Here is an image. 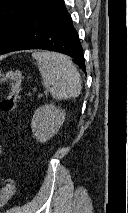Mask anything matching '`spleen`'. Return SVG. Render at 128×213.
Wrapping results in <instances>:
<instances>
[{
  "label": "spleen",
  "mask_w": 128,
  "mask_h": 213,
  "mask_svg": "<svg viewBox=\"0 0 128 213\" xmlns=\"http://www.w3.org/2000/svg\"><path fill=\"white\" fill-rule=\"evenodd\" d=\"M32 57L38 62L44 85L51 86L53 98L61 100L80 95V74L69 57L49 51H34Z\"/></svg>",
  "instance_id": "3e777b00"
}]
</instances>
